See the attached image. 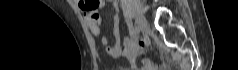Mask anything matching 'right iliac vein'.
Instances as JSON below:
<instances>
[{
    "mask_svg": "<svg viewBox=\"0 0 238 70\" xmlns=\"http://www.w3.org/2000/svg\"><path fill=\"white\" fill-rule=\"evenodd\" d=\"M136 23H137L139 30H141L142 33H146L148 24H147V20L145 19V17L142 15H138L136 17Z\"/></svg>",
    "mask_w": 238,
    "mask_h": 70,
    "instance_id": "right-iliac-vein-1",
    "label": "right iliac vein"
}]
</instances>
